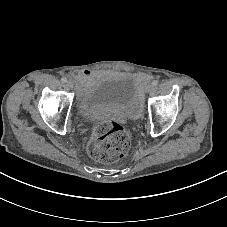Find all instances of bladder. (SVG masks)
I'll use <instances>...</instances> for the list:
<instances>
[{
  "instance_id": "1",
  "label": "bladder",
  "mask_w": 227,
  "mask_h": 227,
  "mask_svg": "<svg viewBox=\"0 0 227 227\" xmlns=\"http://www.w3.org/2000/svg\"><path fill=\"white\" fill-rule=\"evenodd\" d=\"M141 106L142 95L138 92L136 81L133 78H104L89 87L81 101L78 115L93 118L100 112L113 109L125 118H132Z\"/></svg>"
}]
</instances>
